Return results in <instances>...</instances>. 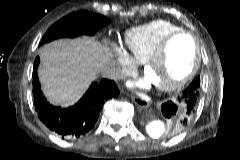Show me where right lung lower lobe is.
I'll return each mask as SVG.
<instances>
[{
	"mask_svg": "<svg viewBox=\"0 0 240 160\" xmlns=\"http://www.w3.org/2000/svg\"><path fill=\"white\" fill-rule=\"evenodd\" d=\"M39 61L37 57L33 66V96L38 117L50 131L62 138L85 135L97 122L105 101L119 95L116 83L108 79L94 82L74 106L61 109L49 104L41 92L37 75Z\"/></svg>",
	"mask_w": 240,
	"mask_h": 160,
	"instance_id": "obj_1",
	"label": "right lung lower lobe"
}]
</instances>
